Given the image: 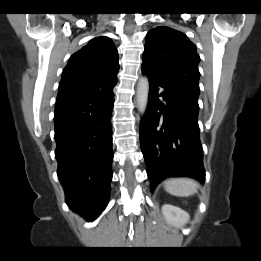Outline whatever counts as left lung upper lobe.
<instances>
[{"label": "left lung upper lobe", "instance_id": "obj_1", "mask_svg": "<svg viewBox=\"0 0 261 261\" xmlns=\"http://www.w3.org/2000/svg\"><path fill=\"white\" fill-rule=\"evenodd\" d=\"M199 61L196 46L184 33L165 26L147 33L142 69L199 93Z\"/></svg>", "mask_w": 261, "mask_h": 261}]
</instances>
